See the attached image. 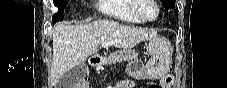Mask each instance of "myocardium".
<instances>
[{
    "mask_svg": "<svg viewBox=\"0 0 227 88\" xmlns=\"http://www.w3.org/2000/svg\"><path fill=\"white\" fill-rule=\"evenodd\" d=\"M144 0H133V4H132V12L134 13V15L139 19L140 22L143 23H153L155 22L159 16H160V7L158 5V1L157 0H146L149 3H151L155 8H156V14L153 18H144L141 16L139 9L141 7V4Z\"/></svg>",
    "mask_w": 227,
    "mask_h": 88,
    "instance_id": "obj_1",
    "label": "myocardium"
}]
</instances>
